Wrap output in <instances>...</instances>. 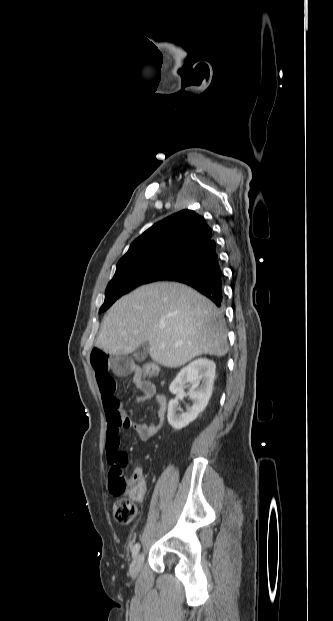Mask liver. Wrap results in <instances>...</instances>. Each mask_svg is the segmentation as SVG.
<instances>
[{
  "label": "liver",
  "instance_id": "6515ba94",
  "mask_svg": "<svg viewBox=\"0 0 333 621\" xmlns=\"http://www.w3.org/2000/svg\"><path fill=\"white\" fill-rule=\"evenodd\" d=\"M149 343L150 357L176 368L202 354L224 356L227 333L220 311L179 283H154L123 296L104 316L96 346L111 355Z\"/></svg>",
  "mask_w": 333,
  "mask_h": 621
}]
</instances>
